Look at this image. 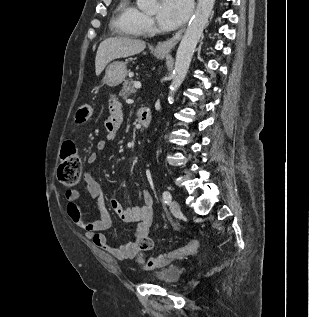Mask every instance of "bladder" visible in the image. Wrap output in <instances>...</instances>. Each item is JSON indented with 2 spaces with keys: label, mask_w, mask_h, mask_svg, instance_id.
Returning <instances> with one entry per match:
<instances>
[{
  "label": "bladder",
  "mask_w": 309,
  "mask_h": 317,
  "mask_svg": "<svg viewBox=\"0 0 309 317\" xmlns=\"http://www.w3.org/2000/svg\"><path fill=\"white\" fill-rule=\"evenodd\" d=\"M181 275L182 271L178 266L168 265L158 270L153 275V279L164 284H174L180 279Z\"/></svg>",
  "instance_id": "1"
}]
</instances>
